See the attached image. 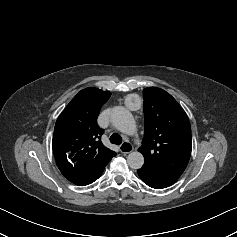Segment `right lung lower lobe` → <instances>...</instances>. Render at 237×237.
<instances>
[{
    "label": "right lung lower lobe",
    "mask_w": 237,
    "mask_h": 237,
    "mask_svg": "<svg viewBox=\"0 0 237 237\" xmlns=\"http://www.w3.org/2000/svg\"><path fill=\"white\" fill-rule=\"evenodd\" d=\"M58 168L60 169V171L62 172V174L72 183L76 184V185H80V186H85L88 185L92 182H94L95 180H97L102 172L96 174V175H76V174H72L70 173L68 170H66L62 165L57 164Z\"/></svg>",
    "instance_id": "right-lung-lower-lobe-1"
}]
</instances>
